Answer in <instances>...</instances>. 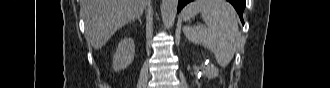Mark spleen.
<instances>
[{
  "mask_svg": "<svg viewBox=\"0 0 330 88\" xmlns=\"http://www.w3.org/2000/svg\"><path fill=\"white\" fill-rule=\"evenodd\" d=\"M198 13L207 27L185 26V36L190 42L213 52L220 66H227L240 40L234 8L225 0H195L185 7L183 20L188 21Z\"/></svg>",
  "mask_w": 330,
  "mask_h": 88,
  "instance_id": "spleen-1",
  "label": "spleen"
}]
</instances>
